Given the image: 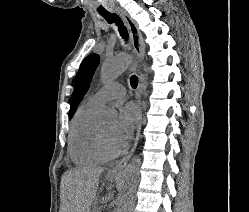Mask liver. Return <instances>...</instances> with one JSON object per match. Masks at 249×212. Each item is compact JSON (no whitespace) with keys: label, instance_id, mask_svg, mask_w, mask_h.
Wrapping results in <instances>:
<instances>
[{"label":"liver","instance_id":"6515ba94","mask_svg":"<svg viewBox=\"0 0 249 212\" xmlns=\"http://www.w3.org/2000/svg\"><path fill=\"white\" fill-rule=\"evenodd\" d=\"M105 168H73L65 172L63 184L67 190V212H91L96 198L99 180ZM116 174H107L106 180L113 182Z\"/></svg>","mask_w":249,"mask_h":212}]
</instances>
